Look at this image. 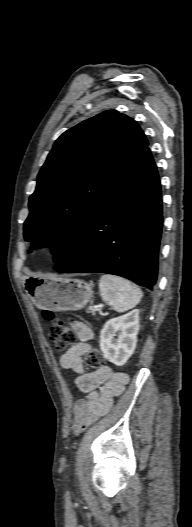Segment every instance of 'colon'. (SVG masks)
I'll return each instance as SVG.
<instances>
[{
    "label": "colon",
    "mask_w": 192,
    "mask_h": 527,
    "mask_svg": "<svg viewBox=\"0 0 192 527\" xmlns=\"http://www.w3.org/2000/svg\"><path fill=\"white\" fill-rule=\"evenodd\" d=\"M45 320L51 322L49 338L57 350H65L76 341V333L66 322L56 319L50 311H43ZM84 363L89 370L98 371L103 368V356L97 348H91L84 355Z\"/></svg>",
    "instance_id": "5ec220e1"
}]
</instances>
